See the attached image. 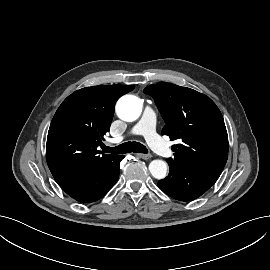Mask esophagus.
Returning <instances> with one entry per match:
<instances>
[{"instance_id":"obj_1","label":"esophagus","mask_w":270,"mask_h":270,"mask_svg":"<svg viewBox=\"0 0 270 270\" xmlns=\"http://www.w3.org/2000/svg\"><path fill=\"white\" fill-rule=\"evenodd\" d=\"M137 156L141 159H144V160H149L152 158V155L151 154H137Z\"/></svg>"}]
</instances>
